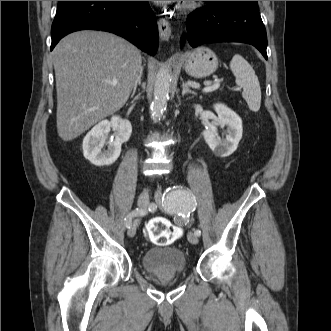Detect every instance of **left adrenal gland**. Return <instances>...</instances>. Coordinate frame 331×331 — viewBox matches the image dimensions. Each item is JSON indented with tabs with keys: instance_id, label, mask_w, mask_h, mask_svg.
Listing matches in <instances>:
<instances>
[{
	"instance_id": "a2214340",
	"label": "left adrenal gland",
	"mask_w": 331,
	"mask_h": 331,
	"mask_svg": "<svg viewBox=\"0 0 331 331\" xmlns=\"http://www.w3.org/2000/svg\"><path fill=\"white\" fill-rule=\"evenodd\" d=\"M193 94V95H196V93L192 90L189 89V86L187 83H183L182 84V96H184L185 94Z\"/></svg>"
}]
</instances>
